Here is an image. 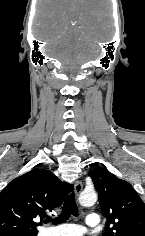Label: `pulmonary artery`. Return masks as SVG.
Here are the masks:
<instances>
[{
	"label": "pulmonary artery",
	"instance_id": "e3ab8cb5",
	"mask_svg": "<svg viewBox=\"0 0 145 236\" xmlns=\"http://www.w3.org/2000/svg\"><path fill=\"white\" fill-rule=\"evenodd\" d=\"M86 224L89 227H98L99 226V217L97 214L91 213L86 217ZM85 231V228L78 224H62L55 228L46 229L42 234L43 236H81Z\"/></svg>",
	"mask_w": 145,
	"mask_h": 236
}]
</instances>
